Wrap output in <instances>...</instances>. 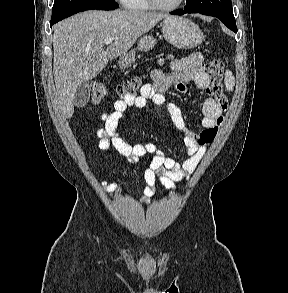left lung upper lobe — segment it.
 <instances>
[{
	"label": "left lung upper lobe",
	"instance_id": "left-lung-upper-lobe-1",
	"mask_svg": "<svg viewBox=\"0 0 288 293\" xmlns=\"http://www.w3.org/2000/svg\"><path fill=\"white\" fill-rule=\"evenodd\" d=\"M185 8L234 18L231 0H186Z\"/></svg>",
	"mask_w": 288,
	"mask_h": 293
}]
</instances>
